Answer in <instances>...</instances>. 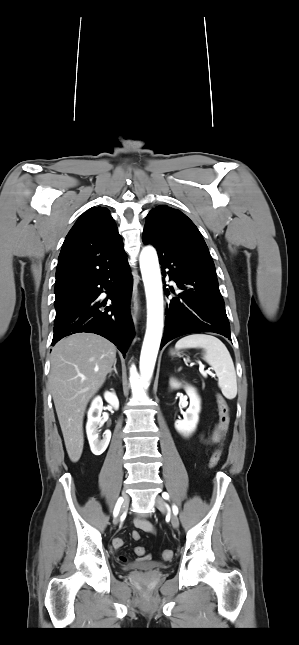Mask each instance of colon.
<instances>
[{
	"label": "colon",
	"instance_id": "obj_1",
	"mask_svg": "<svg viewBox=\"0 0 299 645\" xmlns=\"http://www.w3.org/2000/svg\"><path fill=\"white\" fill-rule=\"evenodd\" d=\"M217 407H218V417H219L218 428H219L220 442L218 444V447L215 449V451L210 457L209 467L211 469L215 468L220 460L222 442L225 438V435L229 426V406L226 399L220 394L217 395ZM132 537L134 540H139L140 534L138 532H133ZM135 553L138 556L143 557L145 556V549L142 546H138L135 548ZM162 557L165 560H170L173 557V552L171 550H164L162 552Z\"/></svg>",
	"mask_w": 299,
	"mask_h": 645
}]
</instances>
